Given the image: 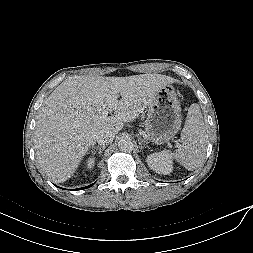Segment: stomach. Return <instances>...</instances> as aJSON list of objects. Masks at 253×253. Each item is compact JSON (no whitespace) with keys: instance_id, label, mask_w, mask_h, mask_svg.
Masks as SVG:
<instances>
[{"instance_id":"0dacf381","label":"stomach","mask_w":253,"mask_h":253,"mask_svg":"<svg viewBox=\"0 0 253 253\" xmlns=\"http://www.w3.org/2000/svg\"><path fill=\"white\" fill-rule=\"evenodd\" d=\"M181 107L172 85H166L149 105L144 122L147 137L155 144L167 143L180 130Z\"/></svg>"}]
</instances>
